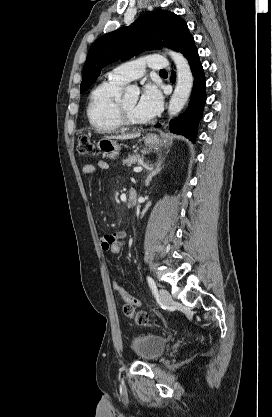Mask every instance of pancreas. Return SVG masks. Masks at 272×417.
Returning <instances> with one entry per match:
<instances>
[{"instance_id":"cf45deb5","label":"pancreas","mask_w":272,"mask_h":417,"mask_svg":"<svg viewBox=\"0 0 272 417\" xmlns=\"http://www.w3.org/2000/svg\"><path fill=\"white\" fill-rule=\"evenodd\" d=\"M143 162V155H129L125 160H123V165L131 167L132 164H142Z\"/></svg>"}]
</instances>
